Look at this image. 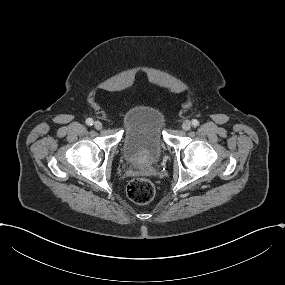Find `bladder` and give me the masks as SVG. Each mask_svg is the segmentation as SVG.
<instances>
[{
    "mask_svg": "<svg viewBox=\"0 0 285 285\" xmlns=\"http://www.w3.org/2000/svg\"><path fill=\"white\" fill-rule=\"evenodd\" d=\"M164 117L154 107L131 109L126 116L121 141L123 159L132 162L137 158L159 160L166 142L163 134Z\"/></svg>",
    "mask_w": 285,
    "mask_h": 285,
    "instance_id": "obj_1",
    "label": "bladder"
}]
</instances>
